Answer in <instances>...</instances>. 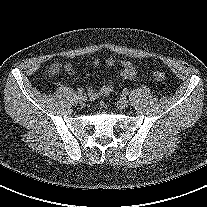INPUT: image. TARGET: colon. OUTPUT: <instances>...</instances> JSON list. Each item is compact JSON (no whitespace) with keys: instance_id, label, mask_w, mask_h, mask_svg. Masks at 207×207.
Wrapping results in <instances>:
<instances>
[{"instance_id":"colon-1","label":"colon","mask_w":207,"mask_h":207,"mask_svg":"<svg viewBox=\"0 0 207 207\" xmlns=\"http://www.w3.org/2000/svg\"><path fill=\"white\" fill-rule=\"evenodd\" d=\"M50 74H56V69H49ZM153 78L157 81H163L165 79V73L160 70H156L153 72Z\"/></svg>"}]
</instances>
